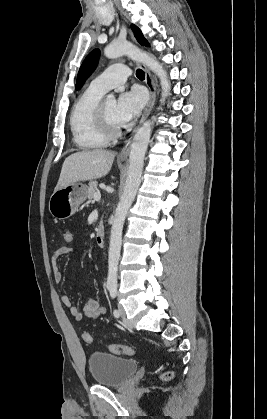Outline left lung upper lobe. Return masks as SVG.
<instances>
[{
  "label": "left lung upper lobe",
  "mask_w": 267,
  "mask_h": 419,
  "mask_svg": "<svg viewBox=\"0 0 267 419\" xmlns=\"http://www.w3.org/2000/svg\"><path fill=\"white\" fill-rule=\"evenodd\" d=\"M131 28L134 32V36L136 37L137 41L143 46H149L147 40L143 37L142 32L140 29L135 26L131 25ZM100 51L98 49L93 50L89 53V55L83 61L79 72L78 78L76 81V88L79 89L85 82L86 78L94 71L97 66L98 59H99Z\"/></svg>",
  "instance_id": "5c2ea615"
}]
</instances>
